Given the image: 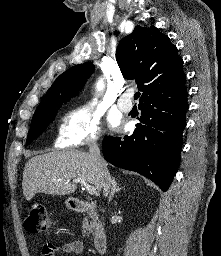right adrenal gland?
<instances>
[{"label": "right adrenal gland", "instance_id": "1", "mask_svg": "<svg viewBox=\"0 0 221 256\" xmlns=\"http://www.w3.org/2000/svg\"><path fill=\"white\" fill-rule=\"evenodd\" d=\"M121 189H122V188L117 185V182H116L115 177H112V190H111L110 195H109V198H108L109 201H111L112 198L114 197V194H115L116 192L120 191Z\"/></svg>", "mask_w": 221, "mask_h": 256}]
</instances>
